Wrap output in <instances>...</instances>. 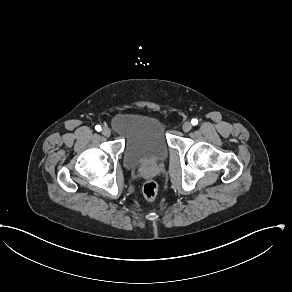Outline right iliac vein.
I'll use <instances>...</instances> for the list:
<instances>
[{
    "label": "right iliac vein",
    "instance_id": "63e3f726",
    "mask_svg": "<svg viewBox=\"0 0 292 292\" xmlns=\"http://www.w3.org/2000/svg\"><path fill=\"white\" fill-rule=\"evenodd\" d=\"M102 134L106 137H109L111 134V130L108 127H103Z\"/></svg>",
    "mask_w": 292,
    "mask_h": 292
}]
</instances>
